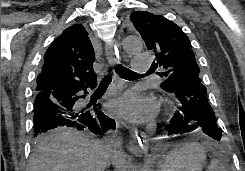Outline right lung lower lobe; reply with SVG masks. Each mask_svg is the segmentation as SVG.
I'll return each instance as SVG.
<instances>
[{"label": "right lung lower lobe", "mask_w": 245, "mask_h": 171, "mask_svg": "<svg viewBox=\"0 0 245 171\" xmlns=\"http://www.w3.org/2000/svg\"><path fill=\"white\" fill-rule=\"evenodd\" d=\"M96 85L67 86L49 92H37L34 101V136L65 125L80 130L86 128L95 134L115 129V121L100 110L99 104L80 103L88 94L86 89H93Z\"/></svg>", "instance_id": "98d812e1"}]
</instances>
